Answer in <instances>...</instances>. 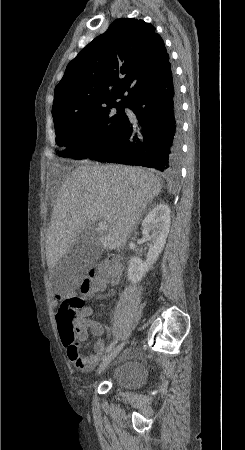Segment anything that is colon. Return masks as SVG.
I'll use <instances>...</instances> for the list:
<instances>
[{
    "mask_svg": "<svg viewBox=\"0 0 245 450\" xmlns=\"http://www.w3.org/2000/svg\"><path fill=\"white\" fill-rule=\"evenodd\" d=\"M124 263L116 254L104 261H101L91 267L82 277L80 289L87 293L96 287L105 286L108 282L114 281L121 275ZM60 300V306L56 314L57 329L66 343H73L76 340L77 333H86L84 324L79 320L75 307L74 299L64 298L60 295L56 296ZM78 360L80 358L78 357Z\"/></svg>",
    "mask_w": 245,
    "mask_h": 450,
    "instance_id": "1",
    "label": "colon"
}]
</instances>
